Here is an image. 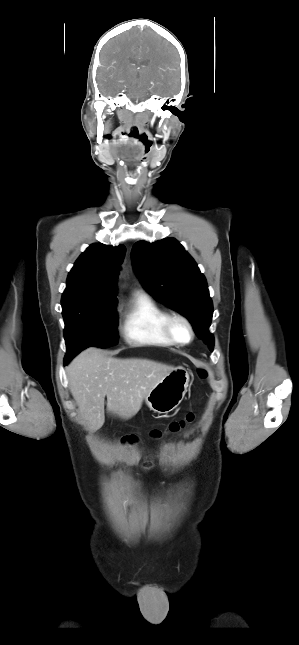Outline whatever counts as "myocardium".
Segmentation results:
<instances>
[{
	"mask_svg": "<svg viewBox=\"0 0 299 645\" xmlns=\"http://www.w3.org/2000/svg\"><path fill=\"white\" fill-rule=\"evenodd\" d=\"M176 322H181L183 323L186 328L188 329L189 332V337L187 340H180L173 329V325ZM163 332L166 335V337L173 343L177 345H187L190 342L193 341L194 336H195V331L193 328V325L191 321L183 314L179 312H169L166 314L164 321H163Z\"/></svg>",
	"mask_w": 299,
	"mask_h": 645,
	"instance_id": "1",
	"label": "myocardium"
}]
</instances>
